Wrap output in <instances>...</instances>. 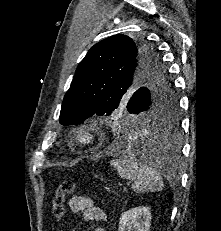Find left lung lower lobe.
<instances>
[{
  "mask_svg": "<svg viewBox=\"0 0 221 231\" xmlns=\"http://www.w3.org/2000/svg\"><path fill=\"white\" fill-rule=\"evenodd\" d=\"M164 125L168 132L161 135L159 129H164ZM177 129V119L166 124L151 120L120 134L119 138L116 136V141L121 146L131 144L136 150L143 151L146 163L167 169L168 161L174 160L179 152ZM157 130L159 134L154 133Z\"/></svg>",
  "mask_w": 221,
  "mask_h": 231,
  "instance_id": "1",
  "label": "left lung lower lobe"
}]
</instances>
